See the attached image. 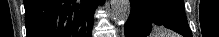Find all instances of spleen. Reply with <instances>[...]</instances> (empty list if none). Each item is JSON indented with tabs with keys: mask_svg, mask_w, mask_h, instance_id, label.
I'll use <instances>...</instances> for the list:
<instances>
[{
	"mask_svg": "<svg viewBox=\"0 0 219 37\" xmlns=\"http://www.w3.org/2000/svg\"><path fill=\"white\" fill-rule=\"evenodd\" d=\"M151 37H179L176 34H173L161 27H155Z\"/></svg>",
	"mask_w": 219,
	"mask_h": 37,
	"instance_id": "spleen-1",
	"label": "spleen"
}]
</instances>
